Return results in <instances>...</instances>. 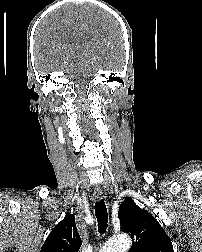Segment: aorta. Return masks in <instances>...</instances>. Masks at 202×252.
Returning a JSON list of instances; mask_svg holds the SVG:
<instances>
[{
  "label": "aorta",
  "mask_w": 202,
  "mask_h": 252,
  "mask_svg": "<svg viewBox=\"0 0 202 252\" xmlns=\"http://www.w3.org/2000/svg\"><path fill=\"white\" fill-rule=\"evenodd\" d=\"M131 247V239L128 235H120L109 240L100 252H127Z\"/></svg>",
  "instance_id": "obj_1"
}]
</instances>
